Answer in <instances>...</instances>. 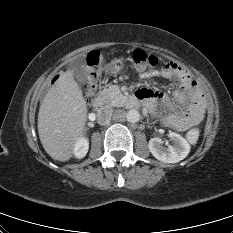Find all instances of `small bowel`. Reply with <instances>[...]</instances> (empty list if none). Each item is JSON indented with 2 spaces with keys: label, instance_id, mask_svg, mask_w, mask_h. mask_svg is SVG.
Returning <instances> with one entry per match:
<instances>
[{
  "label": "small bowel",
  "instance_id": "1",
  "mask_svg": "<svg viewBox=\"0 0 233 233\" xmlns=\"http://www.w3.org/2000/svg\"><path fill=\"white\" fill-rule=\"evenodd\" d=\"M141 76L178 79L179 84L171 97L147 88L137 91V97L151 112L159 114L167 127L185 131L201 121L205 112V100L197 82L185 68L175 62H168L159 71H142ZM159 107L164 111H160Z\"/></svg>",
  "mask_w": 233,
  "mask_h": 233
}]
</instances>
